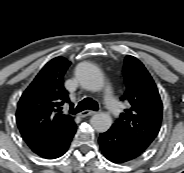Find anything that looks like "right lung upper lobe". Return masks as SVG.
Segmentation results:
<instances>
[{
    "instance_id": "cb5924a9",
    "label": "right lung upper lobe",
    "mask_w": 184,
    "mask_h": 173,
    "mask_svg": "<svg viewBox=\"0 0 184 173\" xmlns=\"http://www.w3.org/2000/svg\"><path fill=\"white\" fill-rule=\"evenodd\" d=\"M71 62L57 57L48 62L22 94L16 113L21 135L33 150L44 147L75 126L63 113L70 103L64 88V74Z\"/></svg>"
}]
</instances>
